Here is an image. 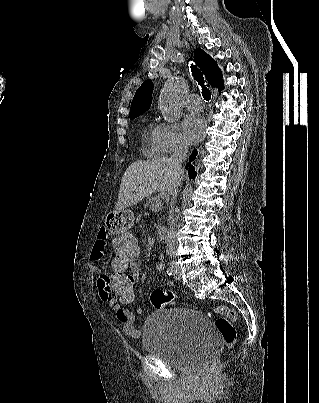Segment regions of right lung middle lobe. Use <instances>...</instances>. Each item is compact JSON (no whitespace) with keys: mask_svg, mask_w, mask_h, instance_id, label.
<instances>
[{"mask_svg":"<svg viewBox=\"0 0 319 403\" xmlns=\"http://www.w3.org/2000/svg\"><path fill=\"white\" fill-rule=\"evenodd\" d=\"M137 116H135V117H130V119H134V118H136Z\"/></svg>","mask_w":319,"mask_h":403,"instance_id":"right-lung-middle-lobe-1","label":"right lung middle lobe"}]
</instances>
